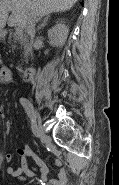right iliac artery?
Masks as SVG:
<instances>
[{"instance_id": "1", "label": "right iliac artery", "mask_w": 119, "mask_h": 185, "mask_svg": "<svg viewBox=\"0 0 119 185\" xmlns=\"http://www.w3.org/2000/svg\"><path fill=\"white\" fill-rule=\"evenodd\" d=\"M20 103L21 105L24 107L28 118H30L29 120L31 121L30 123L31 125V129L33 134L38 138L39 136V132L37 130V127L34 125V121L36 120L35 118H37V113H33V107L32 104L29 102V100H27L26 98H20Z\"/></svg>"}]
</instances>
